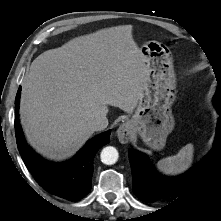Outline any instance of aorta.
<instances>
[{
  "label": "aorta",
  "instance_id": "aorta-1",
  "mask_svg": "<svg viewBox=\"0 0 221 221\" xmlns=\"http://www.w3.org/2000/svg\"><path fill=\"white\" fill-rule=\"evenodd\" d=\"M100 158L106 165L115 164L118 160V151L115 147L107 146L101 151Z\"/></svg>",
  "mask_w": 221,
  "mask_h": 221
}]
</instances>
